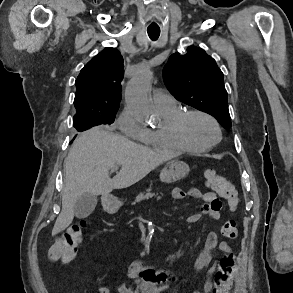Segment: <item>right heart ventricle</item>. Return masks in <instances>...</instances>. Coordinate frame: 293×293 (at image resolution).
<instances>
[{
    "mask_svg": "<svg viewBox=\"0 0 293 293\" xmlns=\"http://www.w3.org/2000/svg\"><path fill=\"white\" fill-rule=\"evenodd\" d=\"M163 125L155 130H149L147 137L142 140L147 146L161 151L171 153L196 152L182 143L174 132V122L177 116L183 111L176 103L165 108H157Z\"/></svg>",
    "mask_w": 293,
    "mask_h": 293,
    "instance_id": "1",
    "label": "right heart ventricle"
}]
</instances>
